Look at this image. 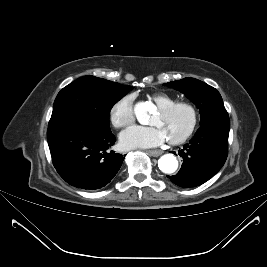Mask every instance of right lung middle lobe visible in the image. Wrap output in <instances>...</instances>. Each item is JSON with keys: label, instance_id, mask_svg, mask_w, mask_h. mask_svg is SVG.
I'll use <instances>...</instances> for the list:
<instances>
[{"label": "right lung middle lobe", "instance_id": "obj_1", "mask_svg": "<svg viewBox=\"0 0 267 267\" xmlns=\"http://www.w3.org/2000/svg\"><path fill=\"white\" fill-rule=\"evenodd\" d=\"M133 88L91 75L81 77L57 95L48 128L81 121L110 129V110Z\"/></svg>", "mask_w": 267, "mask_h": 267}]
</instances>
